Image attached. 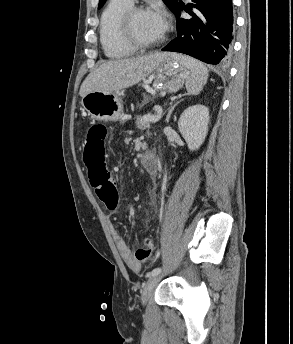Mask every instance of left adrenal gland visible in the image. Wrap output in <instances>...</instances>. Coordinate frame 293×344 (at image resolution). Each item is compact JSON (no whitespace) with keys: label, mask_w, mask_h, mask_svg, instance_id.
<instances>
[{"label":"left adrenal gland","mask_w":293,"mask_h":344,"mask_svg":"<svg viewBox=\"0 0 293 344\" xmlns=\"http://www.w3.org/2000/svg\"><path fill=\"white\" fill-rule=\"evenodd\" d=\"M179 103V102H178ZM176 103L173 107H171V109L169 110L168 114H167V118H166V121L169 122V119H170V116L175 108V106L178 104Z\"/></svg>","instance_id":"1"}]
</instances>
